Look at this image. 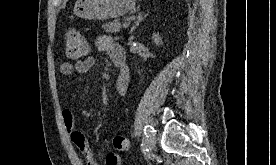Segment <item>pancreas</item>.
<instances>
[{"instance_id":"pancreas-1","label":"pancreas","mask_w":276,"mask_h":165,"mask_svg":"<svg viewBox=\"0 0 276 165\" xmlns=\"http://www.w3.org/2000/svg\"><path fill=\"white\" fill-rule=\"evenodd\" d=\"M102 28H104L105 31L109 33L119 32L121 29V24L118 21L107 22L102 25Z\"/></svg>"}]
</instances>
